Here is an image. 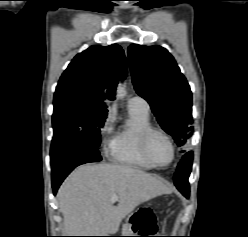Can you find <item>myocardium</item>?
Returning <instances> with one entry per match:
<instances>
[{"label":"myocardium","mask_w":248,"mask_h":237,"mask_svg":"<svg viewBox=\"0 0 248 237\" xmlns=\"http://www.w3.org/2000/svg\"><path fill=\"white\" fill-rule=\"evenodd\" d=\"M153 134L162 135L168 141V143L171 147V158L168 161V163H166L165 165H159V164L155 163L149 154L148 142H149L150 137ZM140 149H141V152H142V155L144 156V158L156 169H164V168L168 167L169 165L172 164V162L174 161L175 156H176V147H175V144H174L171 136L167 132H165L164 130H162L160 128H155L152 126L145 129L141 133V135H140Z\"/></svg>","instance_id":"myocardium-1"}]
</instances>
